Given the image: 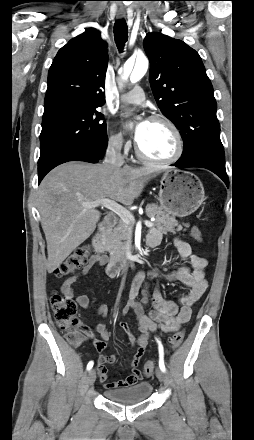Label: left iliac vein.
<instances>
[{"mask_svg": "<svg viewBox=\"0 0 254 440\" xmlns=\"http://www.w3.org/2000/svg\"><path fill=\"white\" fill-rule=\"evenodd\" d=\"M155 374H156V377L160 380V381H164L165 380V374H164V372L160 369V368H156V370H155Z\"/></svg>", "mask_w": 254, "mask_h": 440, "instance_id": "4c4485c4", "label": "left iliac vein"}]
</instances>
